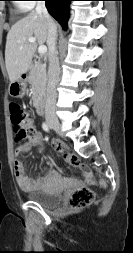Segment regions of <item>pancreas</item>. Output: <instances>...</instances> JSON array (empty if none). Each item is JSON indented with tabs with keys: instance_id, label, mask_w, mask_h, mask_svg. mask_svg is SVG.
Listing matches in <instances>:
<instances>
[{
	"instance_id": "1",
	"label": "pancreas",
	"mask_w": 133,
	"mask_h": 253,
	"mask_svg": "<svg viewBox=\"0 0 133 253\" xmlns=\"http://www.w3.org/2000/svg\"><path fill=\"white\" fill-rule=\"evenodd\" d=\"M28 81L32 88V99L37 102L45 91L47 82L46 65L41 62H36L30 70Z\"/></svg>"
}]
</instances>
